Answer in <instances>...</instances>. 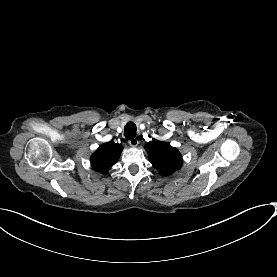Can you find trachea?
Returning a JSON list of instances; mask_svg holds the SVG:
<instances>
[{
  "label": "trachea",
  "instance_id": "trachea-1",
  "mask_svg": "<svg viewBox=\"0 0 277 277\" xmlns=\"http://www.w3.org/2000/svg\"><path fill=\"white\" fill-rule=\"evenodd\" d=\"M136 125L133 122H129L125 125L124 135L128 140H131L136 137Z\"/></svg>",
  "mask_w": 277,
  "mask_h": 277
}]
</instances>
